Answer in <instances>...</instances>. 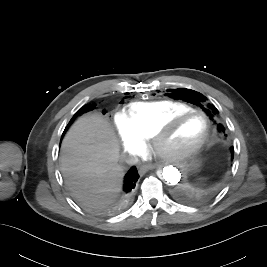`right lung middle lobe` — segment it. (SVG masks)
Listing matches in <instances>:
<instances>
[{"mask_svg":"<svg viewBox=\"0 0 267 267\" xmlns=\"http://www.w3.org/2000/svg\"><path fill=\"white\" fill-rule=\"evenodd\" d=\"M96 105L92 106L89 110H93L95 108Z\"/></svg>","mask_w":267,"mask_h":267,"instance_id":"obj_1","label":"right lung middle lobe"}]
</instances>
